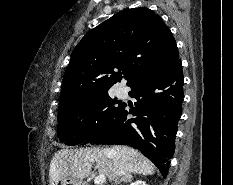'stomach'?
Here are the masks:
<instances>
[{
	"mask_svg": "<svg viewBox=\"0 0 233 185\" xmlns=\"http://www.w3.org/2000/svg\"><path fill=\"white\" fill-rule=\"evenodd\" d=\"M61 185H84V183L79 179L66 177L61 180Z\"/></svg>",
	"mask_w": 233,
	"mask_h": 185,
	"instance_id": "stomach-1",
	"label": "stomach"
}]
</instances>
